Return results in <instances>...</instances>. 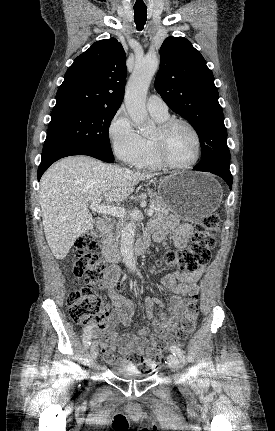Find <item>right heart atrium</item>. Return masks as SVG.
<instances>
[{
    "mask_svg": "<svg viewBox=\"0 0 275 431\" xmlns=\"http://www.w3.org/2000/svg\"><path fill=\"white\" fill-rule=\"evenodd\" d=\"M108 137L114 154L124 163L134 164L144 151L143 137L123 109L111 119Z\"/></svg>",
    "mask_w": 275,
    "mask_h": 431,
    "instance_id": "d8ad5b80",
    "label": "right heart atrium"
}]
</instances>
